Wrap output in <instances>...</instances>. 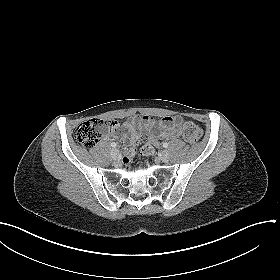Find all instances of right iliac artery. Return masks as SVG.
I'll use <instances>...</instances> for the list:
<instances>
[{
  "label": "right iliac artery",
  "mask_w": 280,
  "mask_h": 280,
  "mask_svg": "<svg viewBox=\"0 0 280 280\" xmlns=\"http://www.w3.org/2000/svg\"><path fill=\"white\" fill-rule=\"evenodd\" d=\"M111 146L115 148L117 146V144L115 142H112Z\"/></svg>",
  "instance_id": "1"
}]
</instances>
